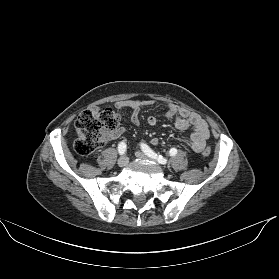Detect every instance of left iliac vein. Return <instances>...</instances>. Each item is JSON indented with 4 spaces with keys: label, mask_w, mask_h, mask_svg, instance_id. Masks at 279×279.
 <instances>
[{
    "label": "left iliac vein",
    "mask_w": 279,
    "mask_h": 279,
    "mask_svg": "<svg viewBox=\"0 0 279 279\" xmlns=\"http://www.w3.org/2000/svg\"><path fill=\"white\" fill-rule=\"evenodd\" d=\"M135 156L140 159H150L148 156H146L143 152L140 151L135 152Z\"/></svg>",
    "instance_id": "1"
}]
</instances>
